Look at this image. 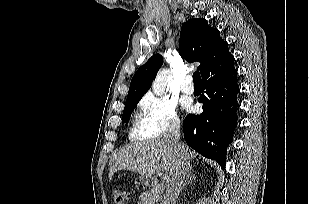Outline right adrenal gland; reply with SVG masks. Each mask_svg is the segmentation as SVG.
<instances>
[{
    "label": "right adrenal gland",
    "mask_w": 309,
    "mask_h": 204,
    "mask_svg": "<svg viewBox=\"0 0 309 204\" xmlns=\"http://www.w3.org/2000/svg\"><path fill=\"white\" fill-rule=\"evenodd\" d=\"M195 180L196 177L193 175V169L190 168V171H189V174L187 176V180H186V183H185V186L188 184V183H191L192 180Z\"/></svg>",
    "instance_id": "1"
}]
</instances>
